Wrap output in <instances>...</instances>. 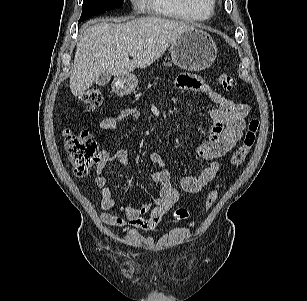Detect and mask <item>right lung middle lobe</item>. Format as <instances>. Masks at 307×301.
I'll list each match as a JSON object with an SVG mask.
<instances>
[{"label": "right lung middle lobe", "mask_w": 307, "mask_h": 301, "mask_svg": "<svg viewBox=\"0 0 307 301\" xmlns=\"http://www.w3.org/2000/svg\"><path fill=\"white\" fill-rule=\"evenodd\" d=\"M122 3L123 0H84L79 22L87 20L90 16L118 8Z\"/></svg>", "instance_id": "obj_1"}]
</instances>
